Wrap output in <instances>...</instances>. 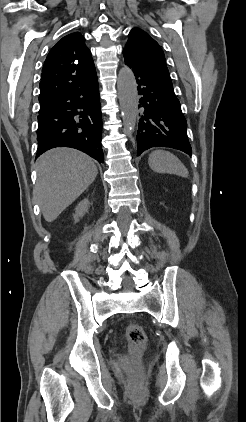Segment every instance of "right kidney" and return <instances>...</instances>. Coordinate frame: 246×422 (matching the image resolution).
<instances>
[{
	"mask_svg": "<svg viewBox=\"0 0 246 422\" xmlns=\"http://www.w3.org/2000/svg\"><path fill=\"white\" fill-rule=\"evenodd\" d=\"M90 202L88 199H84L75 208L74 220L75 222L79 221V218L83 217L85 213L88 212Z\"/></svg>",
	"mask_w": 246,
	"mask_h": 422,
	"instance_id": "right-kidney-1",
	"label": "right kidney"
}]
</instances>
